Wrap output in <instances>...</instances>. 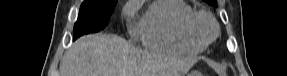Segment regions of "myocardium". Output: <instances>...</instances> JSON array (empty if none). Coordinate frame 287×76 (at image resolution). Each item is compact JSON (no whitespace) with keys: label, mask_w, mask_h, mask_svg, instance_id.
Masks as SVG:
<instances>
[{"label":"myocardium","mask_w":287,"mask_h":76,"mask_svg":"<svg viewBox=\"0 0 287 76\" xmlns=\"http://www.w3.org/2000/svg\"><path fill=\"white\" fill-rule=\"evenodd\" d=\"M202 20H205L212 29V33L208 37L202 35L200 32V23ZM187 31L192 39L204 46H207L218 36L219 26L214 17L208 12L195 11L188 18Z\"/></svg>","instance_id":"1"}]
</instances>
